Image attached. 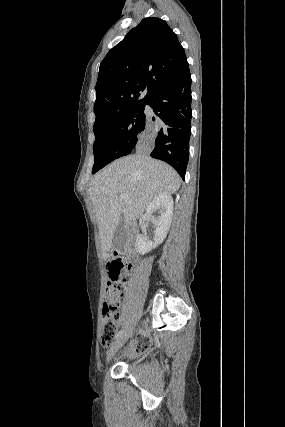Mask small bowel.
Listing matches in <instances>:
<instances>
[{
    "instance_id": "small-bowel-1",
    "label": "small bowel",
    "mask_w": 285,
    "mask_h": 427,
    "mask_svg": "<svg viewBox=\"0 0 285 427\" xmlns=\"http://www.w3.org/2000/svg\"><path fill=\"white\" fill-rule=\"evenodd\" d=\"M138 346L141 349H145L149 346L150 344V337L146 334H142L137 342Z\"/></svg>"
}]
</instances>
